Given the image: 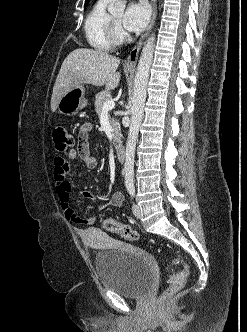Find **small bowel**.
<instances>
[{"label": "small bowel", "mask_w": 247, "mask_h": 332, "mask_svg": "<svg viewBox=\"0 0 247 332\" xmlns=\"http://www.w3.org/2000/svg\"><path fill=\"white\" fill-rule=\"evenodd\" d=\"M91 129V123H85L79 128V142L77 147L68 151L67 158L61 156L56 157L53 171L56 194L66 218L75 224L85 226L92 225L95 221V218L93 216L84 217L71 206L72 186L67 181L66 177L71 172L69 160L80 158L87 168H95L97 166V159L91 153L88 142V136ZM78 176L82 177V174H79ZM81 195L89 199L95 198L94 194L90 191H83ZM122 202V193L119 191H114L111 193L107 201L100 202L98 204V208L101 210L108 206L119 207L121 206Z\"/></svg>", "instance_id": "c3829d8e"}]
</instances>
